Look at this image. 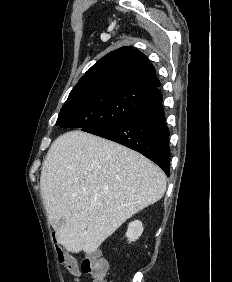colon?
I'll return each instance as SVG.
<instances>
[{"label":"colon","instance_id":"1","mask_svg":"<svg viewBox=\"0 0 232 282\" xmlns=\"http://www.w3.org/2000/svg\"><path fill=\"white\" fill-rule=\"evenodd\" d=\"M57 258L60 263L65 265L66 271L73 276L85 274L90 277L91 282H107L108 263L95 254L79 261L58 248Z\"/></svg>","mask_w":232,"mask_h":282}]
</instances>
